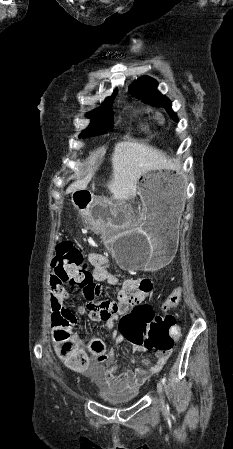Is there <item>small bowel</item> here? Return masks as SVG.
I'll return each instance as SVG.
<instances>
[{"label":"small bowel","instance_id":"c3829d8e","mask_svg":"<svg viewBox=\"0 0 233 449\" xmlns=\"http://www.w3.org/2000/svg\"><path fill=\"white\" fill-rule=\"evenodd\" d=\"M87 258L91 264L90 279L97 282H106L110 285H120L121 290L117 295V300L100 299L103 296V286L97 285L91 293L92 298L98 299L96 302H88L86 308L78 306L75 308L76 314L88 317L94 322H105L108 329H112L114 322L117 321L122 314H129L130 310H135V303L144 302L148 296H151L155 289L152 278H148L147 274H122L121 276L112 273L107 269L109 258L99 252L87 253ZM66 278L73 277V269L65 272ZM64 276L55 267L49 277L50 301L53 310L63 311L69 303V293L64 286ZM108 315V316H106ZM76 316V315H75ZM70 328V341L74 346L75 352L80 354L87 366L92 372L99 373L103 370V364L106 356L100 357L95 352L84 354L87 349L86 343L80 336L72 332ZM113 344L117 347L126 338H120L116 331H113ZM134 350L138 353H144L146 349H137L136 343H131ZM59 343L56 342L58 349ZM112 355V351L109 356ZM169 353H157V361L151 364L149 359H143L144 367L130 369L122 374H117L113 369L106 371V382L115 389H129L143 385L150 376L158 373L164 367Z\"/></svg>","mask_w":233,"mask_h":449}]
</instances>
